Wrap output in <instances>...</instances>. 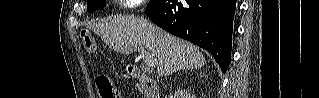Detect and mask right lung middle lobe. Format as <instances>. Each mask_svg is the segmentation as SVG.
Listing matches in <instances>:
<instances>
[{"label": "right lung middle lobe", "instance_id": "1", "mask_svg": "<svg viewBox=\"0 0 319 98\" xmlns=\"http://www.w3.org/2000/svg\"><path fill=\"white\" fill-rule=\"evenodd\" d=\"M106 6V0H88L87 11H95Z\"/></svg>", "mask_w": 319, "mask_h": 98}]
</instances>
